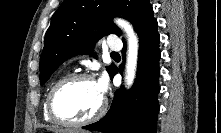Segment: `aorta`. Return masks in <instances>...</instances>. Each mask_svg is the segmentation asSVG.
<instances>
[{
    "mask_svg": "<svg viewBox=\"0 0 221 133\" xmlns=\"http://www.w3.org/2000/svg\"><path fill=\"white\" fill-rule=\"evenodd\" d=\"M115 23L122 29L127 35L128 39V55L126 60V75L125 84L127 88H130L134 82L137 60H138V39L133 31V27L129 22L123 19H116Z\"/></svg>",
    "mask_w": 221,
    "mask_h": 133,
    "instance_id": "aorta-1",
    "label": "aorta"
}]
</instances>
